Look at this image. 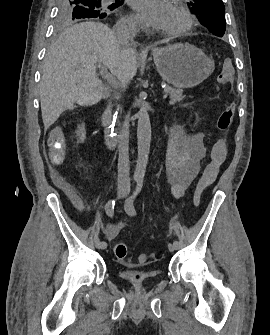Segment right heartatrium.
<instances>
[{"instance_id": "d8ad5b80", "label": "right heart atrium", "mask_w": 270, "mask_h": 335, "mask_svg": "<svg viewBox=\"0 0 270 335\" xmlns=\"http://www.w3.org/2000/svg\"><path fill=\"white\" fill-rule=\"evenodd\" d=\"M117 25H139L140 29V21L135 14H128L124 16Z\"/></svg>"}]
</instances>
